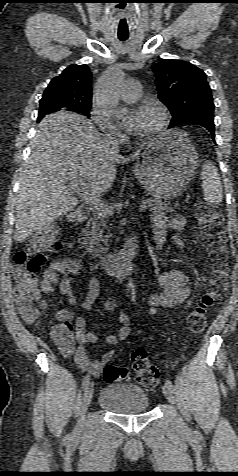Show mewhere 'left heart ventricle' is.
<instances>
[{"mask_svg": "<svg viewBox=\"0 0 238 476\" xmlns=\"http://www.w3.org/2000/svg\"><path fill=\"white\" fill-rule=\"evenodd\" d=\"M140 111H142L143 119L137 134L144 136L158 124L160 117L159 113L151 107H142Z\"/></svg>", "mask_w": 238, "mask_h": 476, "instance_id": "left-heart-ventricle-1", "label": "left heart ventricle"}]
</instances>
